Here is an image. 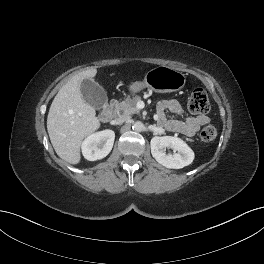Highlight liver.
I'll list each match as a JSON object with an SVG mask.
<instances>
[{
	"label": "liver",
	"mask_w": 264,
	"mask_h": 264,
	"mask_svg": "<svg viewBox=\"0 0 264 264\" xmlns=\"http://www.w3.org/2000/svg\"><path fill=\"white\" fill-rule=\"evenodd\" d=\"M97 74L90 68L73 76L55 96L47 117V131L57 155L70 164L81 160L82 140L100 127L95 108L86 103L80 92L84 79Z\"/></svg>",
	"instance_id": "liver-1"
}]
</instances>
